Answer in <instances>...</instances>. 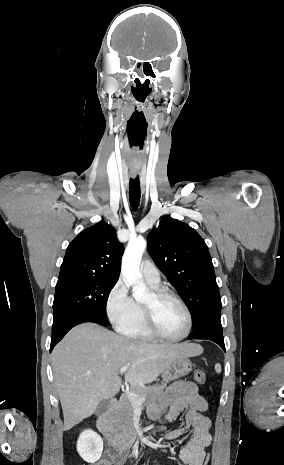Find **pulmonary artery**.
Returning a JSON list of instances; mask_svg holds the SVG:
<instances>
[{"instance_id": "e3ab8cb5", "label": "pulmonary artery", "mask_w": 284, "mask_h": 465, "mask_svg": "<svg viewBox=\"0 0 284 465\" xmlns=\"http://www.w3.org/2000/svg\"><path fill=\"white\" fill-rule=\"evenodd\" d=\"M143 279L152 286H158L160 283V272L156 266L145 261L141 267Z\"/></svg>"}]
</instances>
